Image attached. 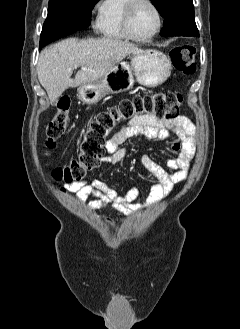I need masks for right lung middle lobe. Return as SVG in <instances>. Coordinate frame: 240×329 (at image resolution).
Here are the masks:
<instances>
[{"label":"right lung middle lobe","instance_id":"right-lung-middle-lobe-1","mask_svg":"<svg viewBox=\"0 0 240 329\" xmlns=\"http://www.w3.org/2000/svg\"><path fill=\"white\" fill-rule=\"evenodd\" d=\"M99 0H50L40 37V48L88 27L91 11Z\"/></svg>","mask_w":240,"mask_h":329}]
</instances>
